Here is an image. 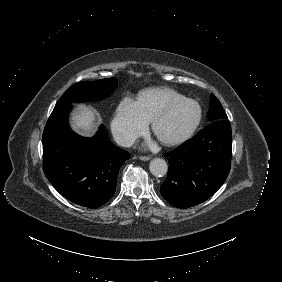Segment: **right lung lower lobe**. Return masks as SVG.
Returning a JSON list of instances; mask_svg holds the SVG:
<instances>
[{"label": "right lung lower lobe", "mask_w": 282, "mask_h": 282, "mask_svg": "<svg viewBox=\"0 0 282 282\" xmlns=\"http://www.w3.org/2000/svg\"><path fill=\"white\" fill-rule=\"evenodd\" d=\"M71 103L55 107L43 133V170L56 190L70 201L98 208L115 193L120 167L130 153L109 141L104 127L92 138L68 126Z\"/></svg>", "instance_id": "98d812e1"}]
</instances>
